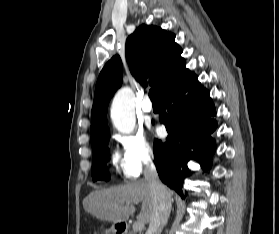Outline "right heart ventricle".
I'll return each instance as SVG.
<instances>
[{
    "label": "right heart ventricle",
    "instance_id": "obj_1",
    "mask_svg": "<svg viewBox=\"0 0 279 234\" xmlns=\"http://www.w3.org/2000/svg\"><path fill=\"white\" fill-rule=\"evenodd\" d=\"M112 163L114 165V167L119 170V169H123L124 170V166H123V161L120 158V156L118 154H114L112 157Z\"/></svg>",
    "mask_w": 279,
    "mask_h": 234
}]
</instances>
